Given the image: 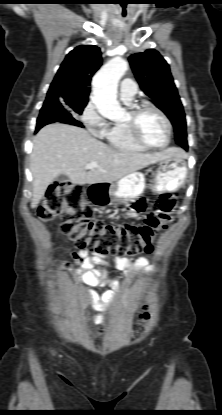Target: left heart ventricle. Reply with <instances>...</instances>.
I'll return each mask as SVG.
<instances>
[{"label": "left heart ventricle", "mask_w": 222, "mask_h": 415, "mask_svg": "<svg viewBox=\"0 0 222 415\" xmlns=\"http://www.w3.org/2000/svg\"><path fill=\"white\" fill-rule=\"evenodd\" d=\"M129 118L127 114L125 120ZM138 127L143 139L152 145H162L167 138V127L163 119L153 110L144 111L138 120Z\"/></svg>", "instance_id": "left-heart-ventricle-1"}]
</instances>
